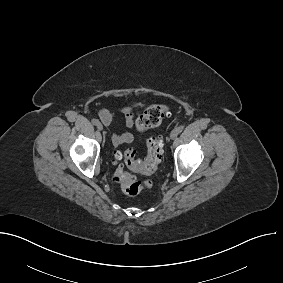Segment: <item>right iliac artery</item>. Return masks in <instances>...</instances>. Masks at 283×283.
<instances>
[{
    "label": "right iliac artery",
    "mask_w": 283,
    "mask_h": 283,
    "mask_svg": "<svg viewBox=\"0 0 283 283\" xmlns=\"http://www.w3.org/2000/svg\"><path fill=\"white\" fill-rule=\"evenodd\" d=\"M93 125H98L100 122L98 119H92Z\"/></svg>",
    "instance_id": "right-iliac-artery-1"
}]
</instances>
